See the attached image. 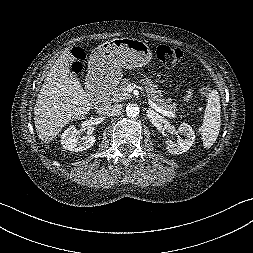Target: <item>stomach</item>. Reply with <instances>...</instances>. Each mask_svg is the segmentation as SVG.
Returning a JSON list of instances; mask_svg holds the SVG:
<instances>
[{
	"mask_svg": "<svg viewBox=\"0 0 253 253\" xmlns=\"http://www.w3.org/2000/svg\"><path fill=\"white\" fill-rule=\"evenodd\" d=\"M152 59L149 45L133 38H115L97 47L89 60L92 76L120 77L122 68L133 69Z\"/></svg>",
	"mask_w": 253,
	"mask_h": 253,
	"instance_id": "1",
	"label": "stomach"
}]
</instances>
